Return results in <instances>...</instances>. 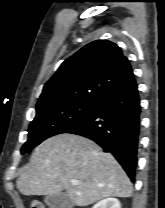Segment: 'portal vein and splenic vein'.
<instances>
[{
    "label": "portal vein and splenic vein",
    "instance_id": "18ae733b",
    "mask_svg": "<svg viewBox=\"0 0 165 208\" xmlns=\"http://www.w3.org/2000/svg\"><path fill=\"white\" fill-rule=\"evenodd\" d=\"M72 184H73V185H77V184H78V181L73 180V181H72Z\"/></svg>",
    "mask_w": 165,
    "mask_h": 208
}]
</instances>
